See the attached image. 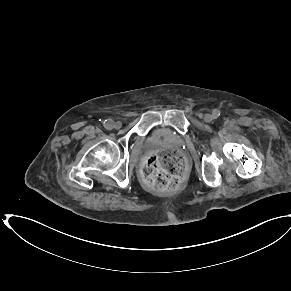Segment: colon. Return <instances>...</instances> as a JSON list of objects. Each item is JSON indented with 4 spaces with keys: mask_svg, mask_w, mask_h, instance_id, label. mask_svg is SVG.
Wrapping results in <instances>:
<instances>
[{
    "mask_svg": "<svg viewBox=\"0 0 291 291\" xmlns=\"http://www.w3.org/2000/svg\"><path fill=\"white\" fill-rule=\"evenodd\" d=\"M183 168L182 156L174 150L166 149L147 156L141 174L146 186L156 191L167 192L178 186Z\"/></svg>",
    "mask_w": 291,
    "mask_h": 291,
    "instance_id": "colon-1",
    "label": "colon"
}]
</instances>
